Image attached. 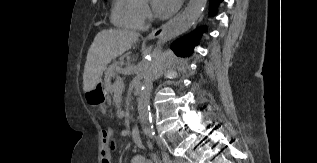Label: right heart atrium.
<instances>
[{"label": "right heart atrium", "instance_id": "obj_1", "mask_svg": "<svg viewBox=\"0 0 317 163\" xmlns=\"http://www.w3.org/2000/svg\"><path fill=\"white\" fill-rule=\"evenodd\" d=\"M142 17L145 21L149 20L151 17V11L147 3H142V9H141Z\"/></svg>", "mask_w": 317, "mask_h": 163}]
</instances>
